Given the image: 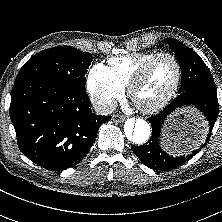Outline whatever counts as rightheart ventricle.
<instances>
[{"instance_id": "1", "label": "right heart ventricle", "mask_w": 222, "mask_h": 222, "mask_svg": "<svg viewBox=\"0 0 222 222\" xmlns=\"http://www.w3.org/2000/svg\"><path fill=\"white\" fill-rule=\"evenodd\" d=\"M156 54L157 52L152 51L114 57L109 59L108 69L113 79L126 88L140 66Z\"/></svg>"}]
</instances>
